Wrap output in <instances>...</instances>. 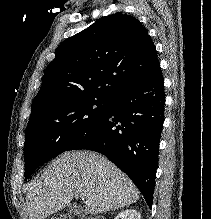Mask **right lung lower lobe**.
<instances>
[{"label":"right lung lower lobe","instance_id":"98d812e1","mask_svg":"<svg viewBox=\"0 0 211 219\" xmlns=\"http://www.w3.org/2000/svg\"><path fill=\"white\" fill-rule=\"evenodd\" d=\"M164 80L160 64L116 94L102 119L68 150L87 149L125 172L151 208L164 122Z\"/></svg>","mask_w":211,"mask_h":219}]
</instances>
